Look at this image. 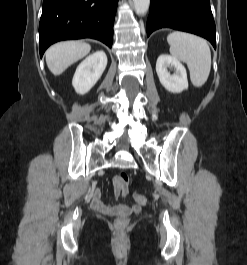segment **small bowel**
<instances>
[{
    "label": "small bowel",
    "instance_id": "c3829d8e",
    "mask_svg": "<svg viewBox=\"0 0 247 265\" xmlns=\"http://www.w3.org/2000/svg\"><path fill=\"white\" fill-rule=\"evenodd\" d=\"M115 196L116 199H119L120 197L126 195V193H123L119 186L115 183ZM91 207L100 213L109 215V216H118V217H127L131 214H138L140 212L139 205H127L123 203H112V204H106L103 203L101 200V192L99 190H94L92 199H91Z\"/></svg>",
    "mask_w": 247,
    "mask_h": 265
}]
</instances>
